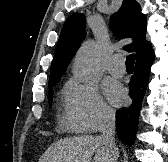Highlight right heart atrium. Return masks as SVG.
Returning a JSON list of instances; mask_svg holds the SVG:
<instances>
[{
    "instance_id": "obj_1",
    "label": "right heart atrium",
    "mask_w": 168,
    "mask_h": 162,
    "mask_svg": "<svg viewBox=\"0 0 168 162\" xmlns=\"http://www.w3.org/2000/svg\"><path fill=\"white\" fill-rule=\"evenodd\" d=\"M114 118V110L104 101L95 83L76 78L68 80L63 116L67 127L77 132L92 133L109 125Z\"/></svg>"
}]
</instances>
